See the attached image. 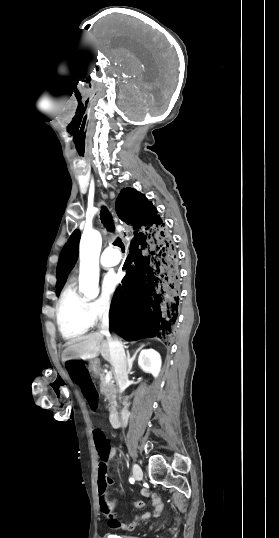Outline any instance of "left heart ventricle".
I'll return each mask as SVG.
<instances>
[{
    "instance_id": "left-heart-ventricle-1",
    "label": "left heart ventricle",
    "mask_w": 279,
    "mask_h": 538,
    "mask_svg": "<svg viewBox=\"0 0 279 538\" xmlns=\"http://www.w3.org/2000/svg\"><path fill=\"white\" fill-rule=\"evenodd\" d=\"M80 209H82V207H68V210L79 211Z\"/></svg>"
}]
</instances>
